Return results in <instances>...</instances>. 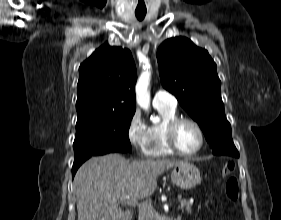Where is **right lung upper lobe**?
<instances>
[{"label":"right lung upper lobe","instance_id":"right-lung-upper-lobe-1","mask_svg":"<svg viewBox=\"0 0 281 220\" xmlns=\"http://www.w3.org/2000/svg\"><path fill=\"white\" fill-rule=\"evenodd\" d=\"M77 118L135 113L136 68L131 52L102 45L79 67Z\"/></svg>","mask_w":281,"mask_h":220}]
</instances>
